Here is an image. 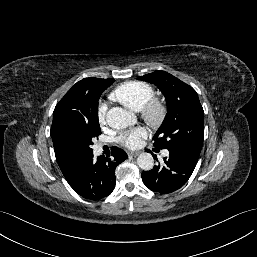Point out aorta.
<instances>
[{
    "label": "aorta",
    "instance_id": "1",
    "mask_svg": "<svg viewBox=\"0 0 257 257\" xmlns=\"http://www.w3.org/2000/svg\"><path fill=\"white\" fill-rule=\"evenodd\" d=\"M106 121L111 128L124 129L136 124L137 118L126 109L113 107L107 112ZM137 164L142 170L149 171L154 166V158L150 153L143 152L138 156Z\"/></svg>",
    "mask_w": 257,
    "mask_h": 257
}]
</instances>
